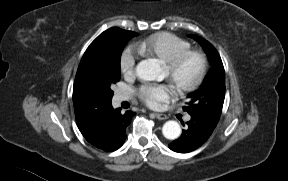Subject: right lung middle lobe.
<instances>
[{"label": "right lung middle lobe", "mask_w": 288, "mask_h": 181, "mask_svg": "<svg viewBox=\"0 0 288 181\" xmlns=\"http://www.w3.org/2000/svg\"><path fill=\"white\" fill-rule=\"evenodd\" d=\"M131 38L119 29L110 32L95 45L82 69V79L109 101L111 85L120 79L122 50Z\"/></svg>", "instance_id": "dd1d6c3e"}]
</instances>
